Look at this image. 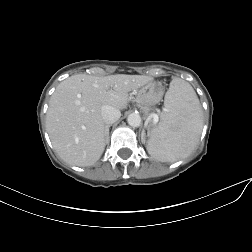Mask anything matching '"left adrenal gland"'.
Wrapping results in <instances>:
<instances>
[{"instance_id":"obj_1","label":"left adrenal gland","mask_w":252,"mask_h":252,"mask_svg":"<svg viewBox=\"0 0 252 252\" xmlns=\"http://www.w3.org/2000/svg\"><path fill=\"white\" fill-rule=\"evenodd\" d=\"M142 137H143V139H144V141H145V135H144V134H142Z\"/></svg>"}]
</instances>
